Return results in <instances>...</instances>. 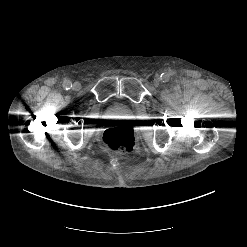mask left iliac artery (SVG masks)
I'll list each match as a JSON object with an SVG mask.
<instances>
[{
  "instance_id": "1",
  "label": "left iliac artery",
  "mask_w": 247,
  "mask_h": 247,
  "mask_svg": "<svg viewBox=\"0 0 247 247\" xmlns=\"http://www.w3.org/2000/svg\"><path fill=\"white\" fill-rule=\"evenodd\" d=\"M161 80H162L163 82H167V81L169 80V75L166 74V73H162V74H161Z\"/></svg>"
}]
</instances>
